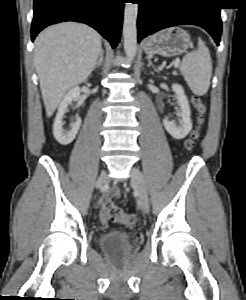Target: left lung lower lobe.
<instances>
[{"label":"left lung lower lobe","mask_w":246,"mask_h":300,"mask_svg":"<svg viewBox=\"0 0 246 300\" xmlns=\"http://www.w3.org/2000/svg\"><path fill=\"white\" fill-rule=\"evenodd\" d=\"M139 4L138 42L161 29L192 24L204 28L219 45L221 7L217 0H136Z\"/></svg>","instance_id":"1"}]
</instances>
